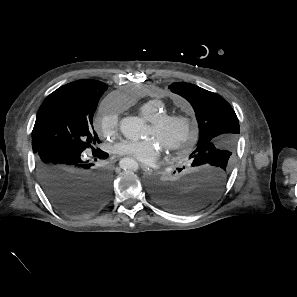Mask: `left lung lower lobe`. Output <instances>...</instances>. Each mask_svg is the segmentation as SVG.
I'll return each instance as SVG.
<instances>
[{
	"mask_svg": "<svg viewBox=\"0 0 297 297\" xmlns=\"http://www.w3.org/2000/svg\"><path fill=\"white\" fill-rule=\"evenodd\" d=\"M191 166L171 182H153L151 193L155 202L177 213H193L208 206L224 188L229 171L215 161L191 160Z\"/></svg>",
	"mask_w": 297,
	"mask_h": 297,
	"instance_id": "obj_1",
	"label": "left lung lower lobe"
}]
</instances>
